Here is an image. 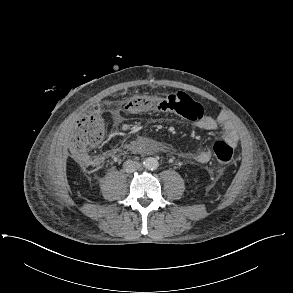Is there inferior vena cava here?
I'll list each match as a JSON object with an SVG mask.
<instances>
[{"mask_svg": "<svg viewBox=\"0 0 293 293\" xmlns=\"http://www.w3.org/2000/svg\"><path fill=\"white\" fill-rule=\"evenodd\" d=\"M140 167H141V164L139 162L132 161V160H127L123 164V169L127 173H131V172L139 169Z\"/></svg>", "mask_w": 293, "mask_h": 293, "instance_id": "1", "label": "inferior vena cava"}]
</instances>
